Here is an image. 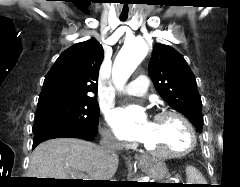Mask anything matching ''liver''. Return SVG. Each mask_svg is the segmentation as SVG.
<instances>
[{"instance_id":"1","label":"liver","mask_w":240,"mask_h":187,"mask_svg":"<svg viewBox=\"0 0 240 187\" xmlns=\"http://www.w3.org/2000/svg\"><path fill=\"white\" fill-rule=\"evenodd\" d=\"M118 156L107 158L96 144L76 138H57L38 145L32 153L29 178L109 180L118 167Z\"/></svg>"}]
</instances>
